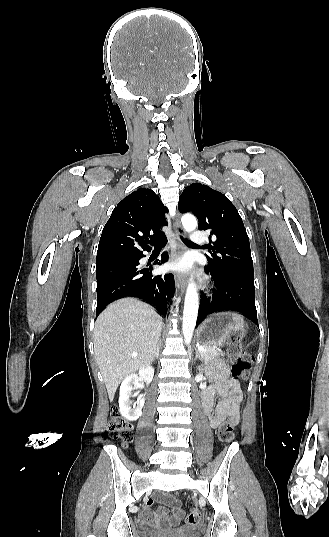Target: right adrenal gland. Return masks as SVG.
<instances>
[{
	"mask_svg": "<svg viewBox=\"0 0 329 537\" xmlns=\"http://www.w3.org/2000/svg\"><path fill=\"white\" fill-rule=\"evenodd\" d=\"M159 350H160V343L157 344L155 355H154L152 361H154L155 357H157V358L159 357Z\"/></svg>",
	"mask_w": 329,
	"mask_h": 537,
	"instance_id": "right-adrenal-gland-1",
	"label": "right adrenal gland"
}]
</instances>
